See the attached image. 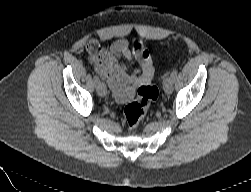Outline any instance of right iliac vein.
<instances>
[{"label":"right iliac vein","mask_w":251,"mask_h":192,"mask_svg":"<svg viewBox=\"0 0 251 192\" xmlns=\"http://www.w3.org/2000/svg\"><path fill=\"white\" fill-rule=\"evenodd\" d=\"M96 89H97V92L100 96L104 97L107 95V88H106V85L104 83H99L97 86H96Z\"/></svg>","instance_id":"obj_1"}]
</instances>
